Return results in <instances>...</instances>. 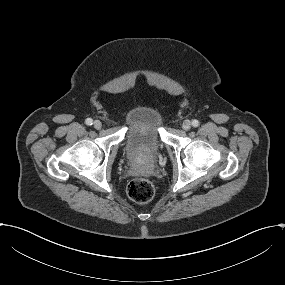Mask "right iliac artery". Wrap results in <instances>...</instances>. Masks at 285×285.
I'll return each instance as SVG.
<instances>
[{
	"label": "right iliac artery",
	"mask_w": 285,
	"mask_h": 285,
	"mask_svg": "<svg viewBox=\"0 0 285 285\" xmlns=\"http://www.w3.org/2000/svg\"><path fill=\"white\" fill-rule=\"evenodd\" d=\"M85 122H86L87 125H92L93 124V120L91 118H87Z\"/></svg>",
	"instance_id": "obj_1"
}]
</instances>
